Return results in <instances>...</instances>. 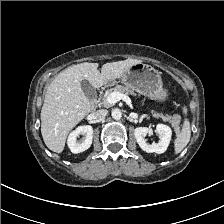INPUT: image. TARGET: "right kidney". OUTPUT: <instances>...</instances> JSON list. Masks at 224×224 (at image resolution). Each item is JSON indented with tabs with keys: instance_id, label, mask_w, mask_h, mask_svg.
I'll return each instance as SVG.
<instances>
[{
	"instance_id": "right-kidney-1",
	"label": "right kidney",
	"mask_w": 224,
	"mask_h": 224,
	"mask_svg": "<svg viewBox=\"0 0 224 224\" xmlns=\"http://www.w3.org/2000/svg\"><path fill=\"white\" fill-rule=\"evenodd\" d=\"M83 135L82 141H77V137ZM93 139V128L90 125L79 126L73 132L70 133L67 143L71 152L74 154L81 153L87 150Z\"/></svg>"
}]
</instances>
